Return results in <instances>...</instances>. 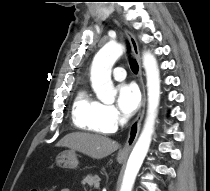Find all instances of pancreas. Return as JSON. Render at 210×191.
Returning <instances> with one entry per match:
<instances>
[{
	"label": "pancreas",
	"mask_w": 210,
	"mask_h": 191,
	"mask_svg": "<svg viewBox=\"0 0 210 191\" xmlns=\"http://www.w3.org/2000/svg\"><path fill=\"white\" fill-rule=\"evenodd\" d=\"M82 184H87L90 188L98 189L100 185V178L97 175H87L85 178H83Z\"/></svg>",
	"instance_id": "1"
}]
</instances>
